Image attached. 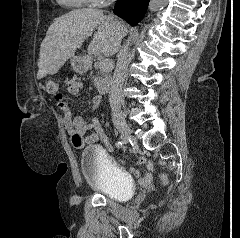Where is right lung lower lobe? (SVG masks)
Returning a JSON list of instances; mask_svg holds the SVG:
<instances>
[{
	"label": "right lung lower lobe",
	"mask_w": 240,
	"mask_h": 238,
	"mask_svg": "<svg viewBox=\"0 0 240 238\" xmlns=\"http://www.w3.org/2000/svg\"><path fill=\"white\" fill-rule=\"evenodd\" d=\"M150 0H117L114 13L131 25L139 23L146 13Z\"/></svg>",
	"instance_id": "98d812e1"
}]
</instances>
